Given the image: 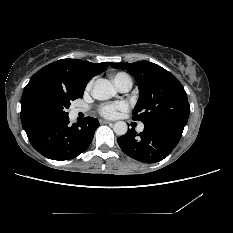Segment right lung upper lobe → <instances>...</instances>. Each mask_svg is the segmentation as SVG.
Masks as SVG:
<instances>
[{
	"label": "right lung upper lobe",
	"instance_id": "obj_1",
	"mask_svg": "<svg viewBox=\"0 0 233 233\" xmlns=\"http://www.w3.org/2000/svg\"><path fill=\"white\" fill-rule=\"evenodd\" d=\"M111 62L91 63L79 59H61L36 72L21 97V121L26 134L33 133L51 119L42 108V101L53 94H80L89 80L104 72Z\"/></svg>",
	"mask_w": 233,
	"mask_h": 233
}]
</instances>
